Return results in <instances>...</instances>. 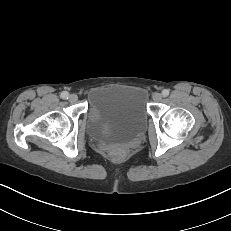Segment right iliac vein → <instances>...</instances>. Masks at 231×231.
Here are the masks:
<instances>
[{
    "label": "right iliac vein",
    "instance_id": "obj_1",
    "mask_svg": "<svg viewBox=\"0 0 231 231\" xmlns=\"http://www.w3.org/2000/svg\"><path fill=\"white\" fill-rule=\"evenodd\" d=\"M78 100V96L76 94H71L69 96V102L75 103Z\"/></svg>",
    "mask_w": 231,
    "mask_h": 231
}]
</instances>
